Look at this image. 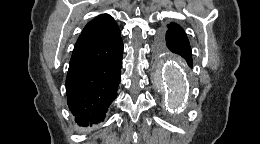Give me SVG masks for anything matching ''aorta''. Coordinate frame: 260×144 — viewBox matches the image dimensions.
I'll return each instance as SVG.
<instances>
[{
    "mask_svg": "<svg viewBox=\"0 0 260 144\" xmlns=\"http://www.w3.org/2000/svg\"><path fill=\"white\" fill-rule=\"evenodd\" d=\"M159 85L167 93V103L171 108L180 106L185 99L188 85L183 67L175 59H167L158 65Z\"/></svg>",
    "mask_w": 260,
    "mask_h": 144,
    "instance_id": "1",
    "label": "aorta"
}]
</instances>
